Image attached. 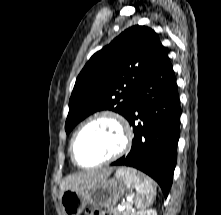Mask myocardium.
I'll return each mask as SVG.
<instances>
[{
  "label": "myocardium",
  "mask_w": 221,
  "mask_h": 215,
  "mask_svg": "<svg viewBox=\"0 0 221 215\" xmlns=\"http://www.w3.org/2000/svg\"><path fill=\"white\" fill-rule=\"evenodd\" d=\"M102 119L111 120L118 126L120 133H121V138H122L121 145L118 148V150H116L113 154H111L107 158L101 160L100 162H97L92 165H83L78 161L76 154H75L76 140H77L78 136L80 135V133L88 125H90L91 123H93L97 120H102ZM132 137H133L132 129L123 115H121L120 113H118L114 110H109V109L99 111V112L93 114L92 116H90L89 118H87L74 132V134L71 138L70 147H69L71 159L76 166H78L80 168H84V169H90V168H95V167L105 165L107 163H110V162L120 158L121 156H123L125 153L128 152V150L131 147Z\"/></svg>",
  "instance_id": "f54148a6"
}]
</instances>
